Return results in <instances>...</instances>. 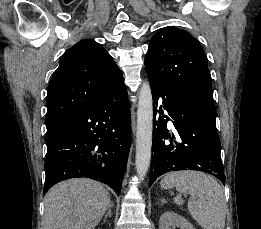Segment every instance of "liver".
<instances>
[{
  "mask_svg": "<svg viewBox=\"0 0 261 229\" xmlns=\"http://www.w3.org/2000/svg\"><path fill=\"white\" fill-rule=\"evenodd\" d=\"M44 229H95L111 201L100 183L69 179L45 195Z\"/></svg>",
  "mask_w": 261,
  "mask_h": 229,
  "instance_id": "6515ba94",
  "label": "liver"
}]
</instances>
